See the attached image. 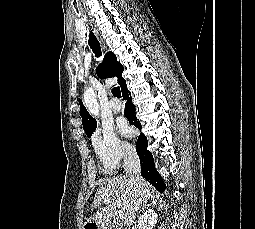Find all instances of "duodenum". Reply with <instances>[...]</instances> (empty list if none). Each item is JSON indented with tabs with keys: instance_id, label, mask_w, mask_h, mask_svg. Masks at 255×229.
<instances>
[{
	"instance_id": "410a0bca",
	"label": "duodenum",
	"mask_w": 255,
	"mask_h": 229,
	"mask_svg": "<svg viewBox=\"0 0 255 229\" xmlns=\"http://www.w3.org/2000/svg\"><path fill=\"white\" fill-rule=\"evenodd\" d=\"M98 229H120V228L111 223H102L98 226Z\"/></svg>"
}]
</instances>
